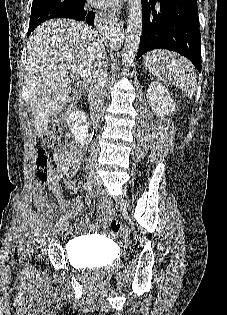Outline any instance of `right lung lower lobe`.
Here are the masks:
<instances>
[{
    "mask_svg": "<svg viewBox=\"0 0 227 315\" xmlns=\"http://www.w3.org/2000/svg\"><path fill=\"white\" fill-rule=\"evenodd\" d=\"M85 0H80L74 6L70 7L63 18H70L79 21H86L89 25L94 26V12H87L84 9Z\"/></svg>",
    "mask_w": 227,
    "mask_h": 315,
    "instance_id": "right-lung-lower-lobe-1",
    "label": "right lung lower lobe"
}]
</instances>
